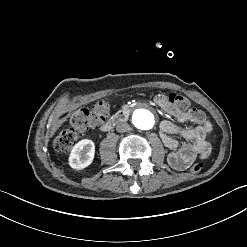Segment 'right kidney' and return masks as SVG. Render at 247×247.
<instances>
[{"label":"right kidney","instance_id":"ca27d5eb","mask_svg":"<svg viewBox=\"0 0 247 247\" xmlns=\"http://www.w3.org/2000/svg\"><path fill=\"white\" fill-rule=\"evenodd\" d=\"M94 157V142L90 139H82L73 146L68 158V164L74 170H83L93 162Z\"/></svg>","mask_w":247,"mask_h":247}]
</instances>
